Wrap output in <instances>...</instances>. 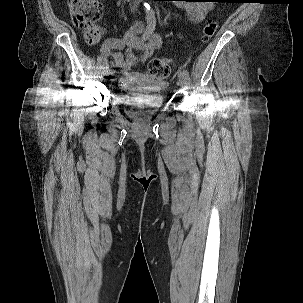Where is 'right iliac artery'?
I'll return each instance as SVG.
<instances>
[{
    "mask_svg": "<svg viewBox=\"0 0 303 303\" xmlns=\"http://www.w3.org/2000/svg\"><path fill=\"white\" fill-rule=\"evenodd\" d=\"M146 19H147V27H146L145 33L142 36L143 39H147L150 36V34L153 32V30L155 29V26H156V19H155L154 15H152V16L147 15ZM115 71H116L115 65H112L109 69V73L114 74Z\"/></svg>",
    "mask_w": 303,
    "mask_h": 303,
    "instance_id": "82829eb1",
    "label": "right iliac artery"
}]
</instances>
